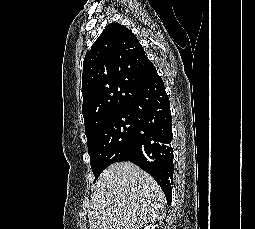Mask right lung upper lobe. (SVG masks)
Instances as JSON below:
<instances>
[{"label":"right lung upper lobe","mask_w":255,"mask_h":229,"mask_svg":"<svg viewBox=\"0 0 255 229\" xmlns=\"http://www.w3.org/2000/svg\"><path fill=\"white\" fill-rule=\"evenodd\" d=\"M155 70L129 29L118 23L106 26L83 62L82 114L86 137L121 112L141 81Z\"/></svg>","instance_id":"1"}]
</instances>
